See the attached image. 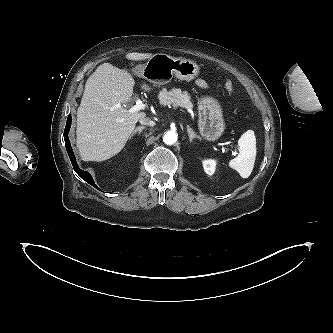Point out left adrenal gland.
<instances>
[{
  "instance_id": "a2214340",
  "label": "left adrenal gland",
  "mask_w": 333,
  "mask_h": 333,
  "mask_svg": "<svg viewBox=\"0 0 333 333\" xmlns=\"http://www.w3.org/2000/svg\"><path fill=\"white\" fill-rule=\"evenodd\" d=\"M187 132L189 134L190 142H192L194 138L201 140L200 136H198L189 125H187Z\"/></svg>"
}]
</instances>
